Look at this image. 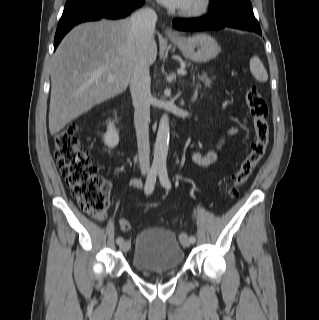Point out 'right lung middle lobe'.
<instances>
[{
  "mask_svg": "<svg viewBox=\"0 0 319 320\" xmlns=\"http://www.w3.org/2000/svg\"><path fill=\"white\" fill-rule=\"evenodd\" d=\"M93 0H67L64 8V12L73 10L75 8H78L84 4H87Z\"/></svg>",
  "mask_w": 319,
  "mask_h": 320,
  "instance_id": "dd1d6c3e",
  "label": "right lung middle lobe"
}]
</instances>
